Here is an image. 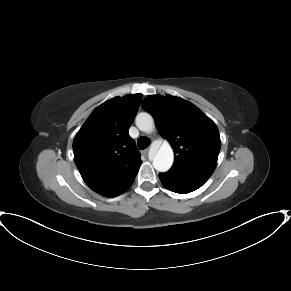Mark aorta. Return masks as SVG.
<instances>
[{"instance_id":"762f6f07","label":"aorta","mask_w":291,"mask_h":291,"mask_svg":"<svg viewBox=\"0 0 291 291\" xmlns=\"http://www.w3.org/2000/svg\"><path fill=\"white\" fill-rule=\"evenodd\" d=\"M135 123L137 128L146 133L154 130L155 124L153 117L147 113L142 112L136 116ZM174 161L173 149L168 142H163L153 158V166L158 172H167Z\"/></svg>"}]
</instances>
